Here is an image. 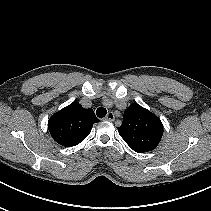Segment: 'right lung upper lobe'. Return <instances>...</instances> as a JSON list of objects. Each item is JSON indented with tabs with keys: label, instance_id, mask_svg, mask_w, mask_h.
Segmentation results:
<instances>
[{
	"label": "right lung upper lobe",
	"instance_id": "cb5924a9",
	"mask_svg": "<svg viewBox=\"0 0 211 211\" xmlns=\"http://www.w3.org/2000/svg\"><path fill=\"white\" fill-rule=\"evenodd\" d=\"M99 121L91 108L85 109L75 101L51 116L48 129L58 144L69 147L82 142Z\"/></svg>",
	"mask_w": 211,
	"mask_h": 211
}]
</instances>
